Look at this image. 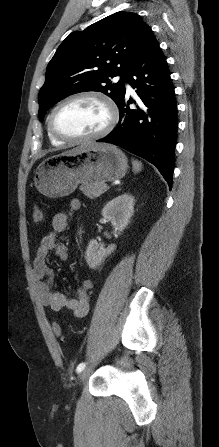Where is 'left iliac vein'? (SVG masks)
Listing matches in <instances>:
<instances>
[{
  "mask_svg": "<svg viewBox=\"0 0 219 447\" xmlns=\"http://www.w3.org/2000/svg\"><path fill=\"white\" fill-rule=\"evenodd\" d=\"M90 374H91V369L87 368V369L82 370L79 375V382L83 383L84 381H86Z\"/></svg>",
  "mask_w": 219,
  "mask_h": 447,
  "instance_id": "1",
  "label": "left iliac vein"
}]
</instances>
